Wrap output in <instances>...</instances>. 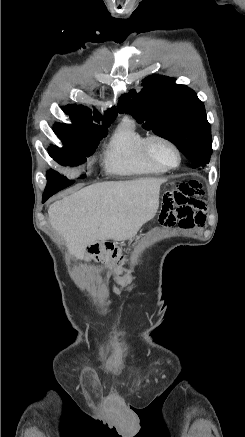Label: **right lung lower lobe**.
I'll return each mask as SVG.
<instances>
[{"mask_svg": "<svg viewBox=\"0 0 245 437\" xmlns=\"http://www.w3.org/2000/svg\"><path fill=\"white\" fill-rule=\"evenodd\" d=\"M69 185H71V183H67L64 181L47 183V186H46L44 193H43L42 202L44 203L49 197H51L52 195H54L58 191L68 187Z\"/></svg>", "mask_w": 245, "mask_h": 437, "instance_id": "obj_1", "label": "right lung lower lobe"}]
</instances>
